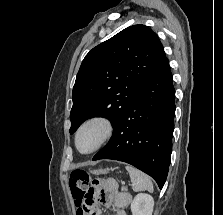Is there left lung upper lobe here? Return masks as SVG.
Returning <instances> with one entry per match:
<instances>
[{
  "instance_id": "obj_1",
  "label": "left lung upper lobe",
  "mask_w": 223,
  "mask_h": 215,
  "mask_svg": "<svg viewBox=\"0 0 223 215\" xmlns=\"http://www.w3.org/2000/svg\"><path fill=\"white\" fill-rule=\"evenodd\" d=\"M166 59L157 34L141 24L93 48L82 61L73 87L70 133L96 116L108 118L115 130L138 92Z\"/></svg>"
}]
</instances>
